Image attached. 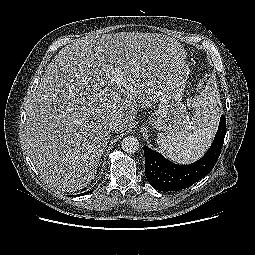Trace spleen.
Returning <instances> with one entry per match:
<instances>
[{"instance_id": "1", "label": "spleen", "mask_w": 255, "mask_h": 255, "mask_svg": "<svg viewBox=\"0 0 255 255\" xmlns=\"http://www.w3.org/2000/svg\"><path fill=\"white\" fill-rule=\"evenodd\" d=\"M219 120L216 110H197L192 118V131L183 135H157L159 148L168 158L188 164L199 159L210 146Z\"/></svg>"}]
</instances>
